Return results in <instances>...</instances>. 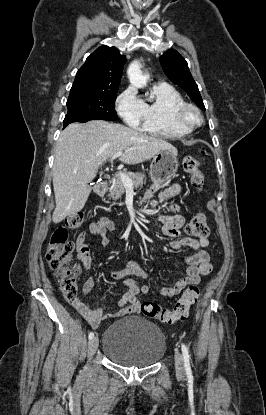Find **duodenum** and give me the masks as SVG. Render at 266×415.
<instances>
[{"instance_id": "410a0bca", "label": "duodenum", "mask_w": 266, "mask_h": 415, "mask_svg": "<svg viewBox=\"0 0 266 415\" xmlns=\"http://www.w3.org/2000/svg\"><path fill=\"white\" fill-rule=\"evenodd\" d=\"M107 184L105 182H99L94 186V193L97 195H103L106 191Z\"/></svg>"}]
</instances>
